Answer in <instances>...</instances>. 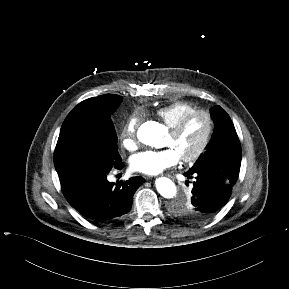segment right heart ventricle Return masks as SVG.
Instances as JSON below:
<instances>
[{
  "mask_svg": "<svg viewBox=\"0 0 289 289\" xmlns=\"http://www.w3.org/2000/svg\"><path fill=\"white\" fill-rule=\"evenodd\" d=\"M196 107L185 101H176L162 106L155 111L156 116L169 128L173 126L184 114L195 110Z\"/></svg>",
  "mask_w": 289,
  "mask_h": 289,
  "instance_id": "obj_1",
  "label": "right heart ventricle"
}]
</instances>
